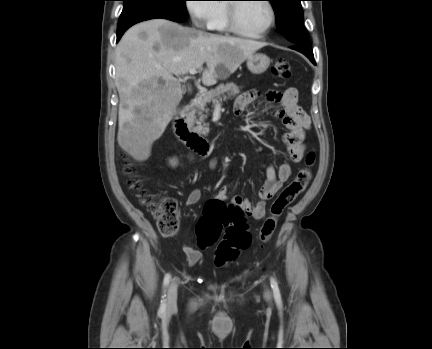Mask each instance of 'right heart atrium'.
I'll use <instances>...</instances> for the list:
<instances>
[{
  "label": "right heart atrium",
  "instance_id": "right-heart-atrium-1",
  "mask_svg": "<svg viewBox=\"0 0 432 349\" xmlns=\"http://www.w3.org/2000/svg\"><path fill=\"white\" fill-rule=\"evenodd\" d=\"M186 8L192 23L198 28H209L216 12L213 0H187Z\"/></svg>",
  "mask_w": 432,
  "mask_h": 349
}]
</instances>
